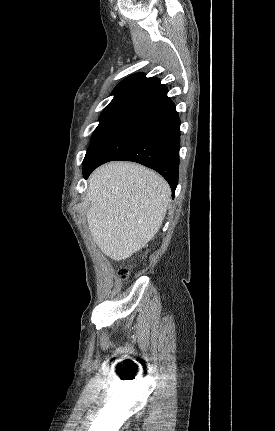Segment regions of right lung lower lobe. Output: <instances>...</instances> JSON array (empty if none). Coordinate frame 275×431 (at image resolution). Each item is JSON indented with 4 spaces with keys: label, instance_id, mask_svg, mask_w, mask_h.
Returning a JSON list of instances; mask_svg holds the SVG:
<instances>
[{
    "label": "right lung lower lobe",
    "instance_id": "obj_1",
    "mask_svg": "<svg viewBox=\"0 0 275 431\" xmlns=\"http://www.w3.org/2000/svg\"><path fill=\"white\" fill-rule=\"evenodd\" d=\"M179 148L180 119L175 104L165 95L136 111L82 173L87 178L95 168L108 161H134L160 173L174 197Z\"/></svg>",
    "mask_w": 275,
    "mask_h": 431
}]
</instances>
